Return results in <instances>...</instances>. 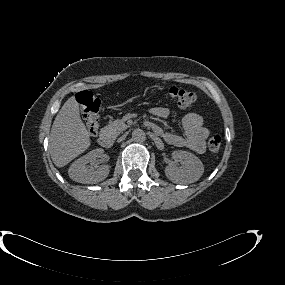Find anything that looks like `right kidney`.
Here are the masks:
<instances>
[{"label": "right kidney", "mask_w": 285, "mask_h": 285, "mask_svg": "<svg viewBox=\"0 0 285 285\" xmlns=\"http://www.w3.org/2000/svg\"><path fill=\"white\" fill-rule=\"evenodd\" d=\"M103 154V149H94L77 159L68 170L69 177L79 183L93 184L104 180L109 174L106 165L97 166L95 169L88 168L86 164L92 163Z\"/></svg>", "instance_id": "ca27d5eb"}]
</instances>
